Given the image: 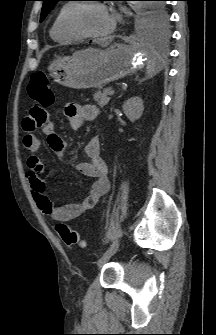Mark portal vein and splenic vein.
<instances>
[{"mask_svg":"<svg viewBox=\"0 0 216 335\" xmlns=\"http://www.w3.org/2000/svg\"><path fill=\"white\" fill-rule=\"evenodd\" d=\"M114 93H115V91L112 89V90L109 92V95H110V96H113Z\"/></svg>","mask_w":216,"mask_h":335,"instance_id":"1","label":"portal vein and splenic vein"}]
</instances>
